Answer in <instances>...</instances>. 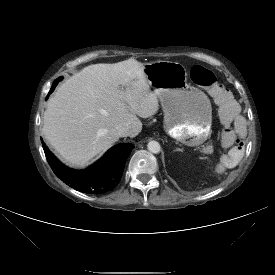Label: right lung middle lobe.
<instances>
[{"label": "right lung middle lobe", "mask_w": 275, "mask_h": 275, "mask_svg": "<svg viewBox=\"0 0 275 275\" xmlns=\"http://www.w3.org/2000/svg\"><path fill=\"white\" fill-rule=\"evenodd\" d=\"M60 80H62V77H59L57 80L54 81V83L52 84V87H51V90H50L49 93H51L54 90L55 86L57 85L58 81H60Z\"/></svg>", "instance_id": "dd1d6c3e"}]
</instances>
